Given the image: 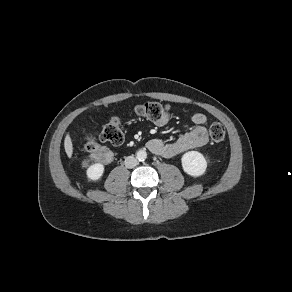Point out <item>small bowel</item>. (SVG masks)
Returning a JSON list of instances; mask_svg holds the SVG:
<instances>
[{
    "mask_svg": "<svg viewBox=\"0 0 292 292\" xmlns=\"http://www.w3.org/2000/svg\"><path fill=\"white\" fill-rule=\"evenodd\" d=\"M167 122L168 117L157 121L156 124L164 126ZM192 123L194 125L193 129L174 142L166 143L161 139L150 140L147 145L149 150L158 156L169 158L205 145L209 140L207 117L202 113H196L192 116Z\"/></svg>",
    "mask_w": 292,
    "mask_h": 292,
    "instance_id": "obj_1",
    "label": "small bowel"
}]
</instances>
